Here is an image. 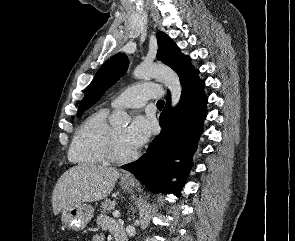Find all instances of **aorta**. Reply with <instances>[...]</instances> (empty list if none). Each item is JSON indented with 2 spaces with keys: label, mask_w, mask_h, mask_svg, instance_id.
<instances>
[{
  "label": "aorta",
  "mask_w": 295,
  "mask_h": 241,
  "mask_svg": "<svg viewBox=\"0 0 295 241\" xmlns=\"http://www.w3.org/2000/svg\"><path fill=\"white\" fill-rule=\"evenodd\" d=\"M133 75L137 79L157 78L170 90L172 107L178 104L182 86L178 75L171 68L160 64L142 63L135 68ZM109 122L112 126H126L130 122V117L125 111L117 110L109 117Z\"/></svg>",
  "instance_id": "obj_1"
}]
</instances>
